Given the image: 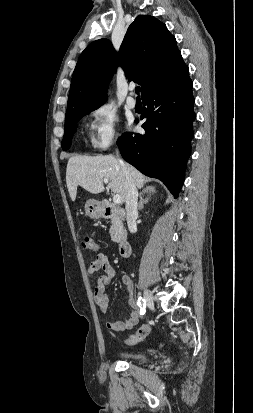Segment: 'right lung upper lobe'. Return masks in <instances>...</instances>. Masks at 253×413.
Returning a JSON list of instances; mask_svg holds the SVG:
<instances>
[{
	"label": "right lung upper lobe",
	"instance_id": "cb5924a9",
	"mask_svg": "<svg viewBox=\"0 0 253 413\" xmlns=\"http://www.w3.org/2000/svg\"><path fill=\"white\" fill-rule=\"evenodd\" d=\"M117 65L129 81L141 85V95L176 78L187 67L175 37L166 25L139 15L129 26L117 53L111 42L99 39L81 53L72 76L65 120L101 106Z\"/></svg>",
	"mask_w": 253,
	"mask_h": 413
}]
</instances>
